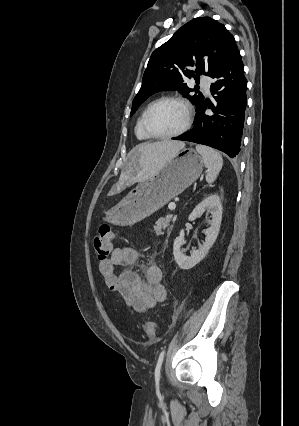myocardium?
Instances as JSON below:
<instances>
[{
    "mask_svg": "<svg viewBox=\"0 0 299 426\" xmlns=\"http://www.w3.org/2000/svg\"><path fill=\"white\" fill-rule=\"evenodd\" d=\"M164 102H176V103H179L180 105H182L185 109V112H186V119H185L184 125L178 131H176L174 133H170V134H156L151 130V128L149 126V118H150V115L153 112V110L158 105H160ZM192 120H193V109H192V106L189 103V101L187 99L181 97V96L170 95V96L161 97V98L153 101L149 105V107L147 108V110L144 114L142 126H143L145 133L150 138L171 139V138L179 137V136L183 135L185 132H187L189 130V128L191 127Z\"/></svg>",
    "mask_w": 299,
    "mask_h": 426,
    "instance_id": "1",
    "label": "myocardium"
}]
</instances>
